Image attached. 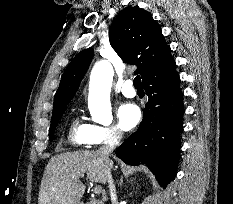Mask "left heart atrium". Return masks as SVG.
<instances>
[{
	"mask_svg": "<svg viewBox=\"0 0 233 204\" xmlns=\"http://www.w3.org/2000/svg\"><path fill=\"white\" fill-rule=\"evenodd\" d=\"M119 124L123 130H131L141 120V111L133 103H124L117 110Z\"/></svg>",
	"mask_w": 233,
	"mask_h": 204,
	"instance_id": "1",
	"label": "left heart atrium"
}]
</instances>
